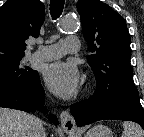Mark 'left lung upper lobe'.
Wrapping results in <instances>:
<instances>
[{
  "mask_svg": "<svg viewBox=\"0 0 144 137\" xmlns=\"http://www.w3.org/2000/svg\"><path fill=\"white\" fill-rule=\"evenodd\" d=\"M88 42V56L97 81L95 92L111 96L137 90L130 65V35L124 18L99 0H79L77 5Z\"/></svg>",
  "mask_w": 144,
  "mask_h": 137,
  "instance_id": "5c2ea615",
  "label": "left lung upper lobe"
}]
</instances>
